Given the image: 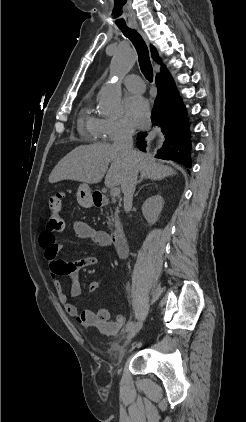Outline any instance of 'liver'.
I'll use <instances>...</instances> for the list:
<instances>
[{"instance_id":"liver-1","label":"liver","mask_w":246,"mask_h":422,"mask_svg":"<svg viewBox=\"0 0 246 422\" xmlns=\"http://www.w3.org/2000/svg\"><path fill=\"white\" fill-rule=\"evenodd\" d=\"M135 164L141 178L162 180L175 174L171 167L156 162L150 155L139 151H136ZM127 172V159L118 148L109 143H95L81 145L61 159L49 175V182L74 180L96 184L106 174L105 185L107 187L117 185L122 187Z\"/></svg>"}]
</instances>
